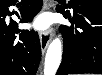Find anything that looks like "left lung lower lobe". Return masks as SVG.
<instances>
[{
	"instance_id": "left-lung-lower-lobe-1",
	"label": "left lung lower lobe",
	"mask_w": 102,
	"mask_h": 75,
	"mask_svg": "<svg viewBox=\"0 0 102 75\" xmlns=\"http://www.w3.org/2000/svg\"><path fill=\"white\" fill-rule=\"evenodd\" d=\"M57 11L80 30L60 26L64 49L56 75L102 74V11H80L74 15L62 9Z\"/></svg>"
}]
</instances>
